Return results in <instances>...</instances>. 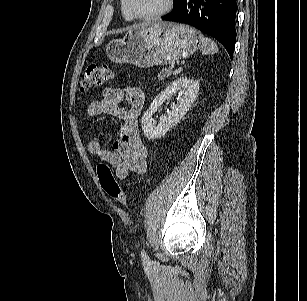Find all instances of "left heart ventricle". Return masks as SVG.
<instances>
[{
    "mask_svg": "<svg viewBox=\"0 0 307 301\" xmlns=\"http://www.w3.org/2000/svg\"><path fill=\"white\" fill-rule=\"evenodd\" d=\"M167 0H132L133 6L139 14L150 15L163 9Z\"/></svg>",
    "mask_w": 307,
    "mask_h": 301,
    "instance_id": "1",
    "label": "left heart ventricle"
}]
</instances>
